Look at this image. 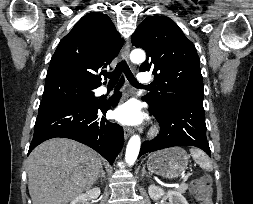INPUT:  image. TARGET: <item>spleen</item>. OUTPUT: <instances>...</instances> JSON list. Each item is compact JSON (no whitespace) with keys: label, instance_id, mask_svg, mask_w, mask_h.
<instances>
[{"label":"spleen","instance_id":"spleen-1","mask_svg":"<svg viewBox=\"0 0 253 204\" xmlns=\"http://www.w3.org/2000/svg\"><path fill=\"white\" fill-rule=\"evenodd\" d=\"M191 155L196 163L199 164V166L206 170L211 172L213 170V166L211 163V160L209 157L200 149H190Z\"/></svg>","mask_w":253,"mask_h":204}]
</instances>
